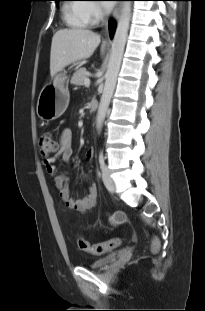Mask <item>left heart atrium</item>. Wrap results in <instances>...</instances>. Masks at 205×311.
I'll list each match as a JSON object with an SVG mask.
<instances>
[{"label":"left heart atrium","mask_w":205,"mask_h":311,"mask_svg":"<svg viewBox=\"0 0 205 311\" xmlns=\"http://www.w3.org/2000/svg\"><path fill=\"white\" fill-rule=\"evenodd\" d=\"M104 7L107 11H110L111 10V7H112V3L111 2H107L104 4Z\"/></svg>","instance_id":"39dd6f15"}]
</instances>
